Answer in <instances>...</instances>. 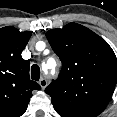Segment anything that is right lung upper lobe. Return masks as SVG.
Here are the masks:
<instances>
[{"label": "right lung upper lobe", "instance_id": "1", "mask_svg": "<svg viewBox=\"0 0 117 117\" xmlns=\"http://www.w3.org/2000/svg\"><path fill=\"white\" fill-rule=\"evenodd\" d=\"M31 34L11 26L0 29V117L23 115L32 91L41 89L30 80V62L21 56Z\"/></svg>", "mask_w": 117, "mask_h": 117}]
</instances>
